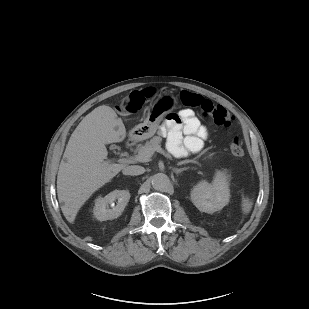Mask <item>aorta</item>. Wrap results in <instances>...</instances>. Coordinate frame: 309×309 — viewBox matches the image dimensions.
Listing matches in <instances>:
<instances>
[{
	"instance_id": "762f6f07",
	"label": "aorta",
	"mask_w": 309,
	"mask_h": 309,
	"mask_svg": "<svg viewBox=\"0 0 309 309\" xmlns=\"http://www.w3.org/2000/svg\"><path fill=\"white\" fill-rule=\"evenodd\" d=\"M151 183L155 190L164 191L168 188L170 180L166 174L157 173L152 176Z\"/></svg>"
}]
</instances>
